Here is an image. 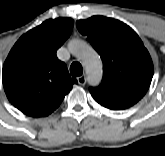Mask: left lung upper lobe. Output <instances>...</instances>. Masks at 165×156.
I'll return each instance as SVG.
<instances>
[{"label":"left lung upper lobe","mask_w":165,"mask_h":156,"mask_svg":"<svg viewBox=\"0 0 165 156\" xmlns=\"http://www.w3.org/2000/svg\"><path fill=\"white\" fill-rule=\"evenodd\" d=\"M76 26L103 61L102 82L89 89L96 102L112 110L136 104L153 77L151 57L139 36L123 22L103 16L78 20Z\"/></svg>","instance_id":"left-lung-upper-lobe-1"}]
</instances>
